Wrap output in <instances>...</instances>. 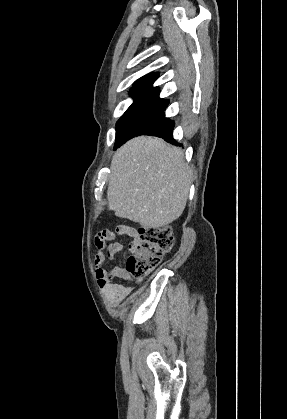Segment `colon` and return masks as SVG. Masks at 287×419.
Here are the masks:
<instances>
[{
    "mask_svg": "<svg viewBox=\"0 0 287 419\" xmlns=\"http://www.w3.org/2000/svg\"><path fill=\"white\" fill-rule=\"evenodd\" d=\"M102 239L103 234L97 237V241ZM173 243L169 228L140 227L130 243L127 271L137 280H142L161 263Z\"/></svg>",
    "mask_w": 287,
    "mask_h": 419,
    "instance_id": "5ec220e1",
    "label": "colon"
}]
</instances>
